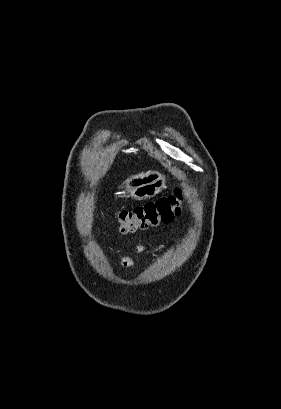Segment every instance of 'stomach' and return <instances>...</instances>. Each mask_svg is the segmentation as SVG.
<instances>
[{
    "label": "stomach",
    "instance_id": "stomach-1",
    "mask_svg": "<svg viewBox=\"0 0 281 409\" xmlns=\"http://www.w3.org/2000/svg\"><path fill=\"white\" fill-rule=\"evenodd\" d=\"M165 184L166 178L159 170H146V172L131 174L122 182L121 188H124L126 196L144 200V198L156 196L162 188H165Z\"/></svg>",
    "mask_w": 281,
    "mask_h": 409
}]
</instances>
